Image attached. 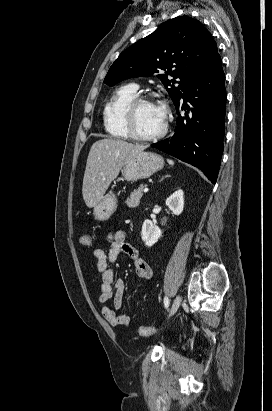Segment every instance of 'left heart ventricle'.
<instances>
[{
    "instance_id": "1",
    "label": "left heart ventricle",
    "mask_w": 272,
    "mask_h": 411,
    "mask_svg": "<svg viewBox=\"0 0 272 411\" xmlns=\"http://www.w3.org/2000/svg\"><path fill=\"white\" fill-rule=\"evenodd\" d=\"M163 126L162 109L155 103H142L136 110L135 128L142 135H153Z\"/></svg>"
}]
</instances>
